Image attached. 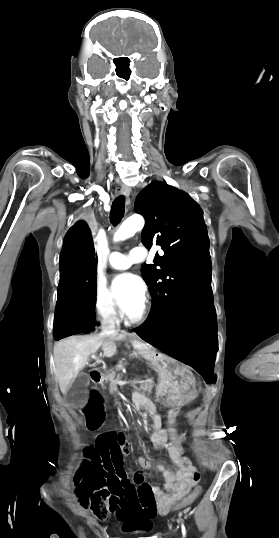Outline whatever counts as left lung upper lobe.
Listing matches in <instances>:
<instances>
[{"label":"left lung upper lobe","instance_id":"5c2ea615","mask_svg":"<svg viewBox=\"0 0 279 538\" xmlns=\"http://www.w3.org/2000/svg\"><path fill=\"white\" fill-rule=\"evenodd\" d=\"M135 212L146 220L143 244L161 246L154 265H143L142 276L152 296L144 325L164 322L184 299L211 286V259L202 211L188 194L162 182L143 189Z\"/></svg>","mask_w":279,"mask_h":538}]
</instances>
